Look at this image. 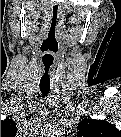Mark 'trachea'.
I'll use <instances>...</instances> for the list:
<instances>
[{
  "instance_id": "1",
  "label": "trachea",
  "mask_w": 121,
  "mask_h": 137,
  "mask_svg": "<svg viewBox=\"0 0 121 137\" xmlns=\"http://www.w3.org/2000/svg\"><path fill=\"white\" fill-rule=\"evenodd\" d=\"M60 12L58 6L53 7L51 19L48 25L47 46L53 48L56 43V37L60 26ZM53 69V57L46 56L40 66V83L39 88L43 96H46L50 91V79Z\"/></svg>"
}]
</instances>
